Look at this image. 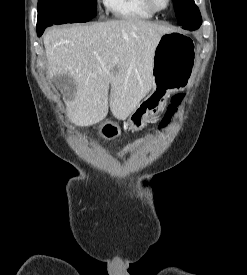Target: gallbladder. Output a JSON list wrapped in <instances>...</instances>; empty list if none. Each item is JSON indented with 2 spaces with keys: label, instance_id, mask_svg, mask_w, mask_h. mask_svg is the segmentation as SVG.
Listing matches in <instances>:
<instances>
[{
  "label": "gallbladder",
  "instance_id": "gallbladder-1",
  "mask_svg": "<svg viewBox=\"0 0 247 275\" xmlns=\"http://www.w3.org/2000/svg\"><path fill=\"white\" fill-rule=\"evenodd\" d=\"M53 83L61 90V91H74L75 83L74 80L67 74L57 75L53 78Z\"/></svg>",
  "mask_w": 247,
  "mask_h": 275
}]
</instances>
